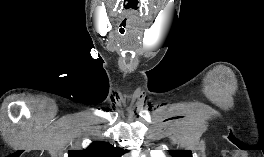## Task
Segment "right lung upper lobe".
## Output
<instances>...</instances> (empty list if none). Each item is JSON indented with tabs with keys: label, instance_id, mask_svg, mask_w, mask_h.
Listing matches in <instances>:
<instances>
[{
	"label": "right lung upper lobe",
	"instance_id": "obj_1",
	"mask_svg": "<svg viewBox=\"0 0 264 157\" xmlns=\"http://www.w3.org/2000/svg\"><path fill=\"white\" fill-rule=\"evenodd\" d=\"M126 150L106 142H95L84 150H70L68 157H121Z\"/></svg>",
	"mask_w": 264,
	"mask_h": 157
}]
</instances>
